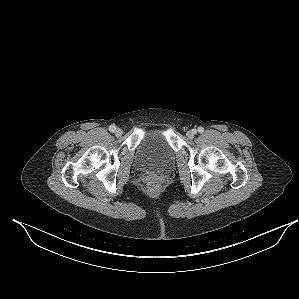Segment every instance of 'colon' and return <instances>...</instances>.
<instances>
[{
    "label": "colon",
    "mask_w": 299,
    "mask_h": 299,
    "mask_svg": "<svg viewBox=\"0 0 299 299\" xmlns=\"http://www.w3.org/2000/svg\"><path fill=\"white\" fill-rule=\"evenodd\" d=\"M148 188L151 192H157L159 190V183L155 180H151L148 183Z\"/></svg>",
    "instance_id": "colon-1"
}]
</instances>
